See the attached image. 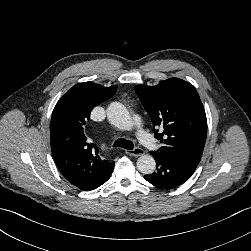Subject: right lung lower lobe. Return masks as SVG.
Masks as SVG:
<instances>
[{
  "label": "right lung lower lobe",
  "instance_id": "1",
  "mask_svg": "<svg viewBox=\"0 0 251 251\" xmlns=\"http://www.w3.org/2000/svg\"><path fill=\"white\" fill-rule=\"evenodd\" d=\"M113 168L114 162L111 163L110 166L104 169L100 174H98L94 179L80 187V189L88 191L98 188L110 178Z\"/></svg>",
  "mask_w": 251,
  "mask_h": 251
}]
</instances>
